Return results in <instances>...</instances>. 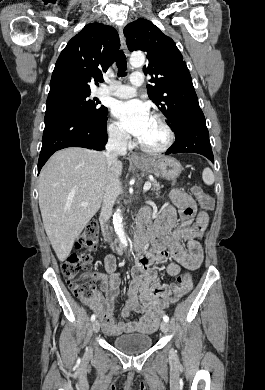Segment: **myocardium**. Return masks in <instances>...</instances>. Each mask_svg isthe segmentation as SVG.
<instances>
[{
  "instance_id": "f54148a6",
  "label": "myocardium",
  "mask_w": 265,
  "mask_h": 390,
  "mask_svg": "<svg viewBox=\"0 0 265 390\" xmlns=\"http://www.w3.org/2000/svg\"><path fill=\"white\" fill-rule=\"evenodd\" d=\"M152 118L155 119L163 128L165 134H166V139L164 143L159 146V147H149L143 144L140 140H138V146L140 149L151 155H157L166 152L174 143L175 140V134L167 120L160 114H153Z\"/></svg>"
}]
</instances>
